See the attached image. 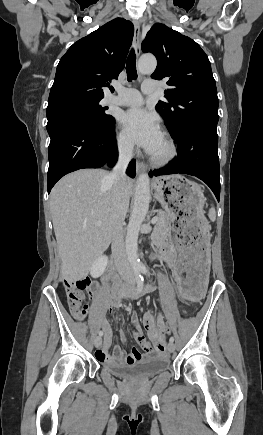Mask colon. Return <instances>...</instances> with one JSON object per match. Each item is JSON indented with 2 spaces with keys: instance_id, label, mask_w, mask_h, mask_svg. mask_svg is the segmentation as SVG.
I'll list each match as a JSON object with an SVG mask.
<instances>
[{
  "instance_id": "5ec220e1",
  "label": "colon",
  "mask_w": 263,
  "mask_h": 435,
  "mask_svg": "<svg viewBox=\"0 0 263 435\" xmlns=\"http://www.w3.org/2000/svg\"><path fill=\"white\" fill-rule=\"evenodd\" d=\"M89 281L87 279H77L64 282L68 305L72 315L82 320L86 315L85 292L88 291ZM171 324H166L167 335H172ZM162 341H165L164 339ZM154 342V341H152Z\"/></svg>"
}]
</instances>
